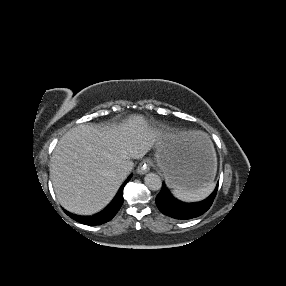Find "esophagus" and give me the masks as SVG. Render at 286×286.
Here are the masks:
<instances>
[{
  "mask_svg": "<svg viewBox=\"0 0 286 286\" xmlns=\"http://www.w3.org/2000/svg\"><path fill=\"white\" fill-rule=\"evenodd\" d=\"M151 168V162L149 160H144L140 163L137 168V174L143 175L147 173Z\"/></svg>",
  "mask_w": 286,
  "mask_h": 286,
  "instance_id": "1",
  "label": "esophagus"
}]
</instances>
